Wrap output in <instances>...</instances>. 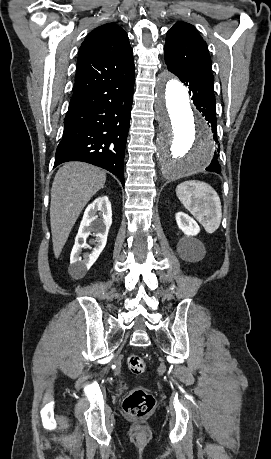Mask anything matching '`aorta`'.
Listing matches in <instances>:
<instances>
[{"instance_id": "762f6f07", "label": "aorta", "mask_w": 271, "mask_h": 459, "mask_svg": "<svg viewBox=\"0 0 271 459\" xmlns=\"http://www.w3.org/2000/svg\"><path fill=\"white\" fill-rule=\"evenodd\" d=\"M155 111L159 122L156 153L163 175L177 179L204 170L214 153L211 132L193 114L186 87L168 72L157 79Z\"/></svg>"}]
</instances>
